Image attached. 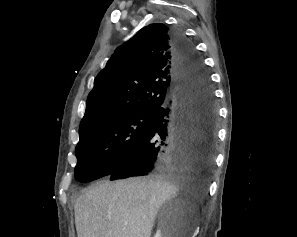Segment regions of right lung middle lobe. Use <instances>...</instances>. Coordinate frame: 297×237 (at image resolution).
I'll list each match as a JSON object with an SVG mask.
<instances>
[{
  "mask_svg": "<svg viewBox=\"0 0 297 237\" xmlns=\"http://www.w3.org/2000/svg\"><path fill=\"white\" fill-rule=\"evenodd\" d=\"M154 112H136L98 121L79 133L75 178L88 182L110 172L112 166L146 135Z\"/></svg>",
  "mask_w": 297,
  "mask_h": 237,
  "instance_id": "dd1d6c3e",
  "label": "right lung middle lobe"
}]
</instances>
